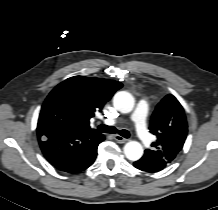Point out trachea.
I'll use <instances>...</instances> for the list:
<instances>
[{
  "label": "trachea",
  "mask_w": 218,
  "mask_h": 210,
  "mask_svg": "<svg viewBox=\"0 0 218 210\" xmlns=\"http://www.w3.org/2000/svg\"><path fill=\"white\" fill-rule=\"evenodd\" d=\"M98 130L102 133H119L122 137L124 138H129L130 137V133L129 131L122 129V130H117L115 127L113 126H107V125H99L98 126Z\"/></svg>",
  "instance_id": "1"
}]
</instances>
